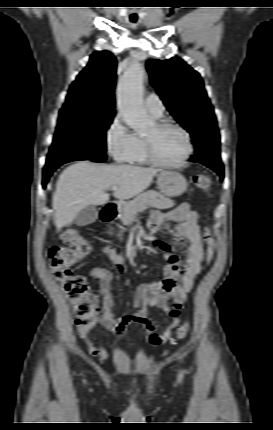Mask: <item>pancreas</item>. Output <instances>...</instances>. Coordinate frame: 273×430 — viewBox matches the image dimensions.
<instances>
[{
    "label": "pancreas",
    "instance_id": "1",
    "mask_svg": "<svg viewBox=\"0 0 273 430\" xmlns=\"http://www.w3.org/2000/svg\"><path fill=\"white\" fill-rule=\"evenodd\" d=\"M148 206L165 209L173 206V201L156 190H148L134 200L127 202L123 206L121 221L123 225H131L139 212L145 210ZM120 236V234L118 235Z\"/></svg>",
    "mask_w": 273,
    "mask_h": 430
}]
</instances>
